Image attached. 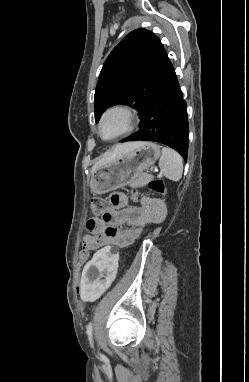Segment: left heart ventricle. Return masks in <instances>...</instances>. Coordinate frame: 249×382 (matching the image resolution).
<instances>
[{
  "label": "left heart ventricle",
  "instance_id": "1",
  "mask_svg": "<svg viewBox=\"0 0 249 382\" xmlns=\"http://www.w3.org/2000/svg\"><path fill=\"white\" fill-rule=\"evenodd\" d=\"M123 128L122 119L118 116L108 118L103 124V134L106 137L113 136Z\"/></svg>",
  "mask_w": 249,
  "mask_h": 382
}]
</instances>
